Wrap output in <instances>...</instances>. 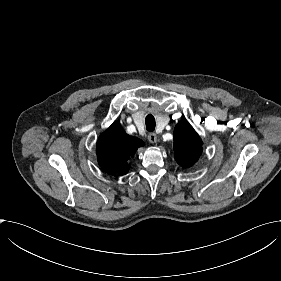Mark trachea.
Listing matches in <instances>:
<instances>
[{"label":"trachea","mask_w":281,"mask_h":281,"mask_svg":"<svg viewBox=\"0 0 281 281\" xmlns=\"http://www.w3.org/2000/svg\"><path fill=\"white\" fill-rule=\"evenodd\" d=\"M145 124H146L147 131L153 132L155 130L156 122H155V118L151 114L146 116Z\"/></svg>","instance_id":"3493384b"}]
</instances>
